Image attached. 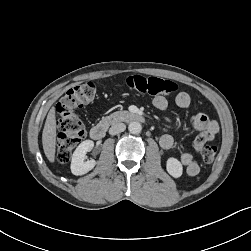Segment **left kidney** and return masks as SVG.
Listing matches in <instances>:
<instances>
[{"label":"left kidney","mask_w":251,"mask_h":251,"mask_svg":"<svg viewBox=\"0 0 251 251\" xmlns=\"http://www.w3.org/2000/svg\"><path fill=\"white\" fill-rule=\"evenodd\" d=\"M166 169L167 172L174 178L180 177L183 172L182 164L180 163V161L173 157L168 158L166 162Z\"/></svg>","instance_id":"5707ae66"}]
</instances>
